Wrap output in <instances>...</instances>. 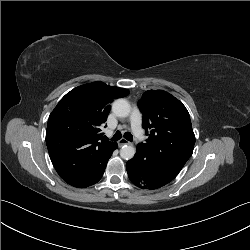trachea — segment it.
<instances>
[{
    "label": "trachea",
    "instance_id": "trachea-1",
    "mask_svg": "<svg viewBox=\"0 0 250 250\" xmlns=\"http://www.w3.org/2000/svg\"><path fill=\"white\" fill-rule=\"evenodd\" d=\"M121 137H122L121 132H120V131H117V132L114 134V136L111 138V140H112V141H118L119 139H121ZM124 138H125L126 140L130 141V142L133 141V136H132V134H131L130 132H126V133L124 134Z\"/></svg>",
    "mask_w": 250,
    "mask_h": 250
}]
</instances>
